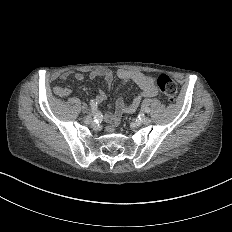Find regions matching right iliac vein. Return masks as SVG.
<instances>
[{"label": "right iliac vein", "mask_w": 232, "mask_h": 232, "mask_svg": "<svg viewBox=\"0 0 232 232\" xmlns=\"http://www.w3.org/2000/svg\"><path fill=\"white\" fill-rule=\"evenodd\" d=\"M84 122L88 125H91L92 124V119L91 118H85L84 119Z\"/></svg>", "instance_id": "obj_1"}]
</instances>
